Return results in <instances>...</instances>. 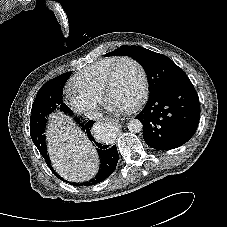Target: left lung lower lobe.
<instances>
[{
  "mask_svg": "<svg viewBox=\"0 0 227 227\" xmlns=\"http://www.w3.org/2000/svg\"><path fill=\"white\" fill-rule=\"evenodd\" d=\"M200 116L198 94L189 79L169 85L149 96L136 116L143 124L144 141L152 148H177L194 135Z\"/></svg>",
  "mask_w": 227,
  "mask_h": 227,
  "instance_id": "obj_1",
  "label": "left lung lower lobe"
}]
</instances>
